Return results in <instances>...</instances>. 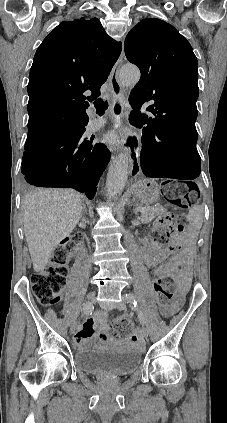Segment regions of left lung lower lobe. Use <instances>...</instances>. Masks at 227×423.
Segmentation results:
<instances>
[{
  "label": "left lung lower lobe",
  "instance_id": "1",
  "mask_svg": "<svg viewBox=\"0 0 227 423\" xmlns=\"http://www.w3.org/2000/svg\"><path fill=\"white\" fill-rule=\"evenodd\" d=\"M153 114L157 115L149 118L133 110L130 115L131 123L142 128L143 173L154 178H197L201 160L196 148V118L177 113Z\"/></svg>",
  "mask_w": 227,
  "mask_h": 423
}]
</instances>
